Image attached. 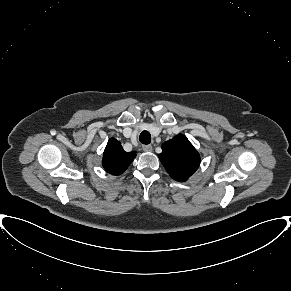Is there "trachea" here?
I'll return each instance as SVG.
<instances>
[{
  "label": "trachea",
  "mask_w": 291,
  "mask_h": 291,
  "mask_svg": "<svg viewBox=\"0 0 291 291\" xmlns=\"http://www.w3.org/2000/svg\"><path fill=\"white\" fill-rule=\"evenodd\" d=\"M139 140L142 144H149L151 142V135L148 131H142Z\"/></svg>",
  "instance_id": "1"
}]
</instances>
